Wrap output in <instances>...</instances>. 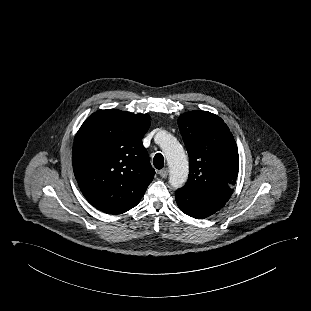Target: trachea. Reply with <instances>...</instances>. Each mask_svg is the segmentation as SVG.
<instances>
[{"mask_svg": "<svg viewBox=\"0 0 311 311\" xmlns=\"http://www.w3.org/2000/svg\"><path fill=\"white\" fill-rule=\"evenodd\" d=\"M153 164H154L155 168L159 169V170L164 167V158H163V155L161 153H157L154 156Z\"/></svg>", "mask_w": 311, "mask_h": 311, "instance_id": "1", "label": "trachea"}]
</instances>
